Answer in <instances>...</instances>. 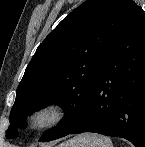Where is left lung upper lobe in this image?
I'll return each instance as SVG.
<instances>
[{
	"label": "left lung upper lobe",
	"mask_w": 145,
	"mask_h": 147,
	"mask_svg": "<svg viewBox=\"0 0 145 147\" xmlns=\"http://www.w3.org/2000/svg\"><path fill=\"white\" fill-rule=\"evenodd\" d=\"M132 0H86L68 14L37 48L17 88L6 137L15 138L26 117L57 104L61 123L39 139L73 129L83 116Z\"/></svg>",
	"instance_id": "1"
}]
</instances>
